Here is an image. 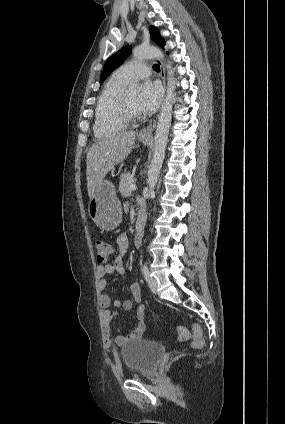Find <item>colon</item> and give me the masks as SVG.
<instances>
[{"instance_id":"5ec220e1","label":"colon","mask_w":285,"mask_h":424,"mask_svg":"<svg viewBox=\"0 0 285 424\" xmlns=\"http://www.w3.org/2000/svg\"><path fill=\"white\" fill-rule=\"evenodd\" d=\"M94 248L97 260L101 263L106 262L114 251L113 246L103 240H96L94 243ZM178 334L181 339H188L190 337L188 331L184 328H179ZM192 334L193 345L196 348L202 347L204 344V331L202 327L198 324H194L192 328Z\"/></svg>"}]
</instances>
